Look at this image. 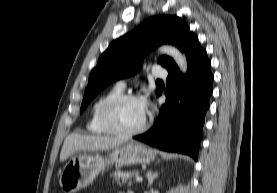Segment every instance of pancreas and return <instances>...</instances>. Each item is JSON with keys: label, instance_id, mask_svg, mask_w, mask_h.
<instances>
[{"label": "pancreas", "instance_id": "obj_1", "mask_svg": "<svg viewBox=\"0 0 277 193\" xmlns=\"http://www.w3.org/2000/svg\"><path fill=\"white\" fill-rule=\"evenodd\" d=\"M139 176V173L137 171H120L116 170L113 172L110 177L112 178L113 182H115L117 185L121 186L125 183L131 184V180L134 177Z\"/></svg>", "mask_w": 277, "mask_h": 193}]
</instances>
